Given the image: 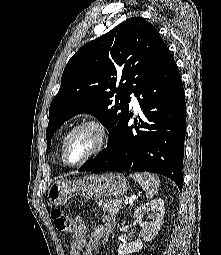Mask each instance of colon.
I'll return each mask as SVG.
<instances>
[{"label": "colon", "mask_w": 221, "mask_h": 255, "mask_svg": "<svg viewBox=\"0 0 221 255\" xmlns=\"http://www.w3.org/2000/svg\"><path fill=\"white\" fill-rule=\"evenodd\" d=\"M51 218L57 230L63 232L79 233L82 230V222L79 218L70 219L61 210L53 209Z\"/></svg>", "instance_id": "1"}]
</instances>
